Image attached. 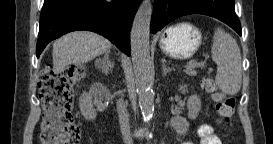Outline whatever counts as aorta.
I'll return each mask as SVG.
<instances>
[{
	"label": "aorta",
	"instance_id": "obj_1",
	"mask_svg": "<svg viewBox=\"0 0 273 144\" xmlns=\"http://www.w3.org/2000/svg\"><path fill=\"white\" fill-rule=\"evenodd\" d=\"M152 5L144 0L133 20L130 41L131 56L138 101L144 121L150 120L154 113V92L150 61V22Z\"/></svg>",
	"mask_w": 273,
	"mask_h": 144
}]
</instances>
